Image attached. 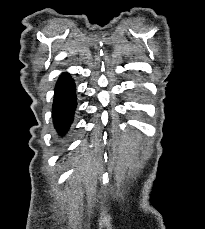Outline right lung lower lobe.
Masks as SVG:
<instances>
[{
    "instance_id": "right-lung-lower-lobe-1",
    "label": "right lung lower lobe",
    "mask_w": 205,
    "mask_h": 229,
    "mask_svg": "<svg viewBox=\"0 0 205 229\" xmlns=\"http://www.w3.org/2000/svg\"><path fill=\"white\" fill-rule=\"evenodd\" d=\"M76 105L75 84L69 74L63 73L56 83L52 108L53 122L59 134L68 131Z\"/></svg>"
}]
</instances>
